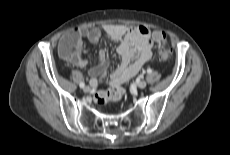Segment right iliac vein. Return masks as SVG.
Instances as JSON below:
<instances>
[{"mask_svg":"<svg viewBox=\"0 0 230 155\" xmlns=\"http://www.w3.org/2000/svg\"><path fill=\"white\" fill-rule=\"evenodd\" d=\"M83 91H84L85 93H88V92L91 91V88H90L89 86H85V87L83 88Z\"/></svg>","mask_w":230,"mask_h":155,"instance_id":"63e3f726","label":"right iliac vein"}]
</instances>
